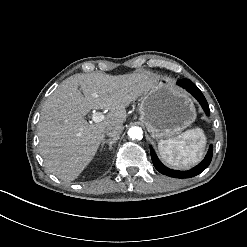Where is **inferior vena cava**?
<instances>
[{
    "label": "inferior vena cava",
    "instance_id": "obj_1",
    "mask_svg": "<svg viewBox=\"0 0 247 247\" xmlns=\"http://www.w3.org/2000/svg\"><path fill=\"white\" fill-rule=\"evenodd\" d=\"M123 130L124 126L122 123H113L105 128V134L113 139H117L119 135L122 134Z\"/></svg>",
    "mask_w": 247,
    "mask_h": 247
}]
</instances>
